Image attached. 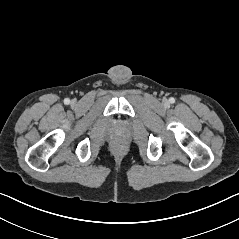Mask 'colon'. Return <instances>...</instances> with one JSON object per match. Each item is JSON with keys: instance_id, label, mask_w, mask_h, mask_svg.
<instances>
[{"instance_id": "1", "label": "colon", "mask_w": 239, "mask_h": 239, "mask_svg": "<svg viewBox=\"0 0 239 239\" xmlns=\"http://www.w3.org/2000/svg\"><path fill=\"white\" fill-rule=\"evenodd\" d=\"M115 148H116V150H117L118 152H121V151L123 150V145L120 144V143H117V144L115 145Z\"/></svg>"}]
</instances>
